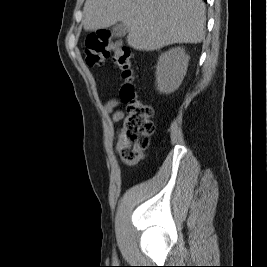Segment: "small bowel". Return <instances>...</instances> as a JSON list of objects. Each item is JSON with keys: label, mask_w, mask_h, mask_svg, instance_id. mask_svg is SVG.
<instances>
[{"label": "small bowel", "mask_w": 267, "mask_h": 267, "mask_svg": "<svg viewBox=\"0 0 267 267\" xmlns=\"http://www.w3.org/2000/svg\"><path fill=\"white\" fill-rule=\"evenodd\" d=\"M118 104V100L110 99L104 105L105 112L111 116V120L113 122H118L123 118V112L120 110H116Z\"/></svg>", "instance_id": "obj_1"}]
</instances>
